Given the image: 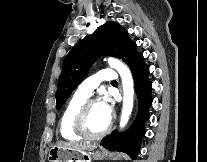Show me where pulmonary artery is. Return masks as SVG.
<instances>
[{
  "label": "pulmonary artery",
  "mask_w": 207,
  "mask_h": 162,
  "mask_svg": "<svg viewBox=\"0 0 207 162\" xmlns=\"http://www.w3.org/2000/svg\"><path fill=\"white\" fill-rule=\"evenodd\" d=\"M102 81L113 83L116 81V74L110 70L104 69L84 80L78 86L77 93L88 98Z\"/></svg>",
  "instance_id": "1"
}]
</instances>
